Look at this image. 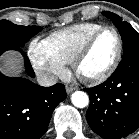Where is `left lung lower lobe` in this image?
<instances>
[{"mask_svg": "<svg viewBox=\"0 0 139 139\" xmlns=\"http://www.w3.org/2000/svg\"><path fill=\"white\" fill-rule=\"evenodd\" d=\"M90 98L86 118L105 139H121L139 127V47L123 55L102 84L85 89Z\"/></svg>", "mask_w": 139, "mask_h": 139, "instance_id": "0a47b994", "label": "left lung lower lobe"}]
</instances>
